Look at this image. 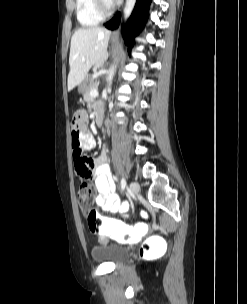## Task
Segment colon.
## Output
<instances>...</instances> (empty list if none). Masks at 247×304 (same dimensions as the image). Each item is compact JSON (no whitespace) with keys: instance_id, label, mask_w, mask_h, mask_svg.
Returning <instances> with one entry per match:
<instances>
[{"instance_id":"colon-1","label":"colon","mask_w":247,"mask_h":304,"mask_svg":"<svg viewBox=\"0 0 247 304\" xmlns=\"http://www.w3.org/2000/svg\"><path fill=\"white\" fill-rule=\"evenodd\" d=\"M83 162L84 159H77L79 165H82ZM93 199L94 189L88 183H83L78 189L77 200L81 210L87 215L90 231L100 235V238H120L118 240L119 246H138V239L127 238L131 235H134V238H145L147 224H120L115 220L104 218L92 208ZM142 215H144L145 221L153 223L152 214L142 212ZM167 242V237H163L162 233H152L151 237H147L141 247L144 259H163Z\"/></svg>"}]
</instances>
